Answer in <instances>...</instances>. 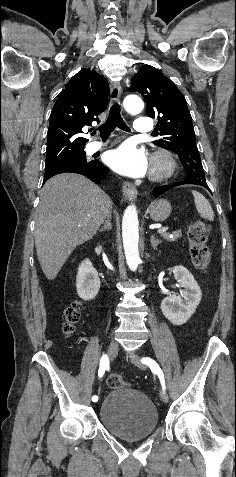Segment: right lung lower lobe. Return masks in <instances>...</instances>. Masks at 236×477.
Returning <instances> with one entry per match:
<instances>
[{"mask_svg":"<svg viewBox=\"0 0 236 477\" xmlns=\"http://www.w3.org/2000/svg\"><path fill=\"white\" fill-rule=\"evenodd\" d=\"M77 173L81 174L96 184H100L101 180L105 178L109 172L108 168L105 167L99 160H94L93 163L86 166H72L67 168L51 169L45 171L44 180L46 182L49 178L60 173Z\"/></svg>","mask_w":236,"mask_h":477,"instance_id":"right-lung-lower-lobe-1","label":"right lung lower lobe"}]
</instances>
